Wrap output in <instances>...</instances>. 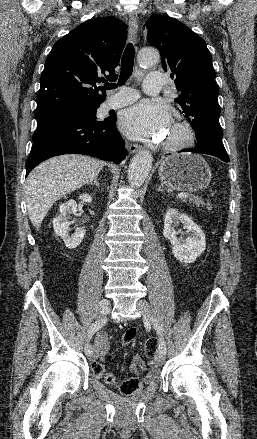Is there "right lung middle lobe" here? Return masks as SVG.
Wrapping results in <instances>:
<instances>
[{"label":"right lung middle lobe","instance_id":"right-lung-middle-lobe-1","mask_svg":"<svg viewBox=\"0 0 257 439\" xmlns=\"http://www.w3.org/2000/svg\"><path fill=\"white\" fill-rule=\"evenodd\" d=\"M98 107H93V108H86V109H81L75 112H86V113H93L94 115H96V111H97Z\"/></svg>","mask_w":257,"mask_h":439}]
</instances>
